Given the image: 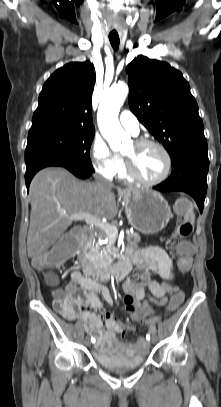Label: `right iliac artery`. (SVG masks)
Instances as JSON below:
<instances>
[{"mask_svg":"<svg viewBox=\"0 0 221 407\" xmlns=\"http://www.w3.org/2000/svg\"><path fill=\"white\" fill-rule=\"evenodd\" d=\"M91 341L94 343V342H95V339H94V338H91Z\"/></svg>","mask_w":221,"mask_h":407,"instance_id":"1","label":"right iliac artery"}]
</instances>
